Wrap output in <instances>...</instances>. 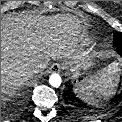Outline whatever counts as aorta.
Wrapping results in <instances>:
<instances>
[{
	"mask_svg": "<svg viewBox=\"0 0 122 122\" xmlns=\"http://www.w3.org/2000/svg\"><path fill=\"white\" fill-rule=\"evenodd\" d=\"M49 83L53 87H59L61 85V77L59 74H52L49 78Z\"/></svg>",
	"mask_w": 122,
	"mask_h": 122,
	"instance_id": "obj_1",
	"label": "aorta"
}]
</instances>
